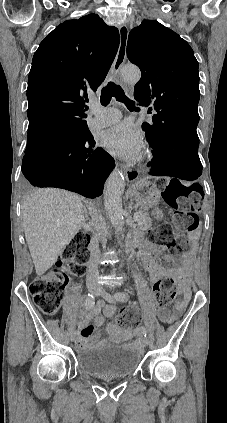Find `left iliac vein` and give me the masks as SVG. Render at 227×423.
I'll list each match as a JSON object with an SVG mask.
<instances>
[{
	"instance_id": "left-iliac-vein-1",
	"label": "left iliac vein",
	"mask_w": 227,
	"mask_h": 423,
	"mask_svg": "<svg viewBox=\"0 0 227 423\" xmlns=\"http://www.w3.org/2000/svg\"><path fill=\"white\" fill-rule=\"evenodd\" d=\"M99 295L103 299L107 300L108 302H111V303L115 302V298L104 289H100ZM143 343H144V345L148 346L150 344L149 339L147 337H145L144 340H143Z\"/></svg>"
}]
</instances>
